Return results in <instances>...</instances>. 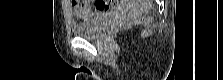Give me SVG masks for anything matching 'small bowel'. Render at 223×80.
<instances>
[{
	"instance_id": "c3829d8e",
	"label": "small bowel",
	"mask_w": 223,
	"mask_h": 80,
	"mask_svg": "<svg viewBox=\"0 0 223 80\" xmlns=\"http://www.w3.org/2000/svg\"><path fill=\"white\" fill-rule=\"evenodd\" d=\"M71 5L75 16L81 20L97 17L103 13L109 12L115 6L113 2H96L95 7L91 8L86 2L79 4L75 1H72Z\"/></svg>"
}]
</instances>
